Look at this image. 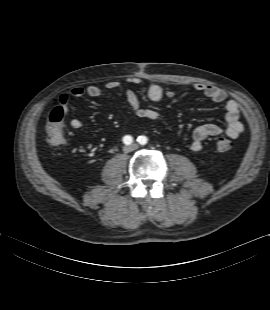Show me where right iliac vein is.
<instances>
[{"mask_svg":"<svg viewBox=\"0 0 270 310\" xmlns=\"http://www.w3.org/2000/svg\"><path fill=\"white\" fill-rule=\"evenodd\" d=\"M126 152H128L129 150H130V148L129 147H125V149H124Z\"/></svg>","mask_w":270,"mask_h":310,"instance_id":"right-iliac-vein-1","label":"right iliac vein"}]
</instances>
